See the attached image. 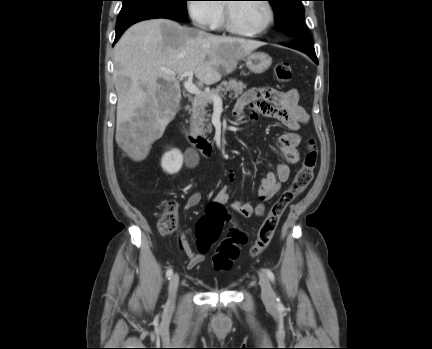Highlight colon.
<instances>
[{
    "mask_svg": "<svg viewBox=\"0 0 432 349\" xmlns=\"http://www.w3.org/2000/svg\"><path fill=\"white\" fill-rule=\"evenodd\" d=\"M276 78L280 82H288L292 78V68L288 62H279L274 67ZM318 151L314 140H309L302 165L298 169L292 183L280 194L271 206L265 220L260 226L256 238L250 248V255L257 257L269 245L274 237L282 215L287 207L306 190L313 180L317 165ZM229 214L223 205L212 202L205 216L201 217L196 226L197 246L200 252H207L216 242L223 222ZM178 226L176 204L168 201L160 215L159 229L163 234H170ZM245 237L238 232H231L226 239L220 242L213 255V265L216 270H229L239 256L240 244Z\"/></svg>",
    "mask_w": 432,
    "mask_h": 349,
    "instance_id": "5ec220e1",
    "label": "colon"
}]
</instances>
